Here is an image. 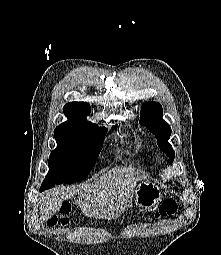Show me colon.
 Masks as SVG:
<instances>
[{
    "mask_svg": "<svg viewBox=\"0 0 221 255\" xmlns=\"http://www.w3.org/2000/svg\"><path fill=\"white\" fill-rule=\"evenodd\" d=\"M177 209H178V202L173 199H167L160 205V207L156 211V218L171 216L176 213ZM69 210H70L69 205L63 204L59 215L53 216L49 220V225L54 226L57 223H60L63 226H67L69 223L68 222Z\"/></svg>",
    "mask_w": 221,
    "mask_h": 255,
    "instance_id": "5ec220e1",
    "label": "colon"
}]
</instances>
